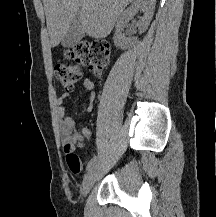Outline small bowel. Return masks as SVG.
I'll use <instances>...</instances> for the list:
<instances>
[{
    "label": "small bowel",
    "mask_w": 216,
    "mask_h": 217,
    "mask_svg": "<svg viewBox=\"0 0 216 217\" xmlns=\"http://www.w3.org/2000/svg\"><path fill=\"white\" fill-rule=\"evenodd\" d=\"M81 86L88 92V110H90L95 99V85L92 80L84 79ZM69 96L70 93L66 91L57 99V113L60 119L59 132L66 152L72 149L76 143L93 140V135L89 128L83 127L81 130H78L74 119L66 114L64 102Z\"/></svg>",
    "instance_id": "small-bowel-1"
}]
</instances>
